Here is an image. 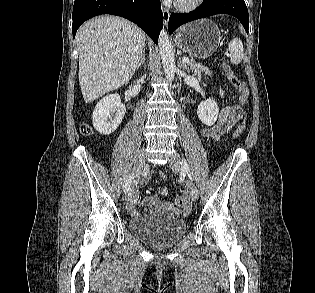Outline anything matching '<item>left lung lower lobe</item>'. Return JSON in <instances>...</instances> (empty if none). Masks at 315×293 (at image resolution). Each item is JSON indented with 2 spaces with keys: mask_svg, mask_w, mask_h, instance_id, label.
<instances>
[{
  "mask_svg": "<svg viewBox=\"0 0 315 293\" xmlns=\"http://www.w3.org/2000/svg\"><path fill=\"white\" fill-rule=\"evenodd\" d=\"M215 14L235 16L248 32L249 16L244 0H204L201 6L189 13H172L169 18V33L172 34L182 24Z\"/></svg>",
  "mask_w": 315,
  "mask_h": 293,
  "instance_id": "1",
  "label": "left lung lower lobe"
}]
</instances>
